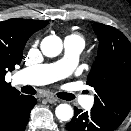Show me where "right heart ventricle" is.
Here are the masks:
<instances>
[{
  "mask_svg": "<svg viewBox=\"0 0 131 131\" xmlns=\"http://www.w3.org/2000/svg\"><path fill=\"white\" fill-rule=\"evenodd\" d=\"M68 38L80 40L82 42L84 41V38L80 34H77V33H71L65 39H68Z\"/></svg>",
  "mask_w": 131,
  "mask_h": 131,
  "instance_id": "e07e8e85",
  "label": "right heart ventricle"
}]
</instances>
